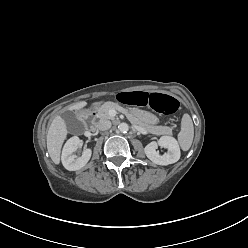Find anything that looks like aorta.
Masks as SVG:
<instances>
[{"mask_svg": "<svg viewBox=\"0 0 248 248\" xmlns=\"http://www.w3.org/2000/svg\"><path fill=\"white\" fill-rule=\"evenodd\" d=\"M118 130L122 133H126L129 130V126L127 123H120L118 126Z\"/></svg>", "mask_w": 248, "mask_h": 248, "instance_id": "1", "label": "aorta"}]
</instances>
